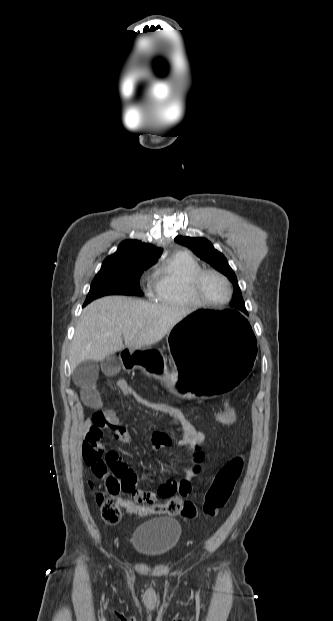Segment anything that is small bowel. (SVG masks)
<instances>
[{
	"label": "small bowel",
	"mask_w": 333,
	"mask_h": 621,
	"mask_svg": "<svg viewBox=\"0 0 333 621\" xmlns=\"http://www.w3.org/2000/svg\"><path fill=\"white\" fill-rule=\"evenodd\" d=\"M114 368L115 360L107 359L104 363V369L113 371ZM117 388L124 395L132 396L133 394L132 387L125 380H119ZM80 396L86 406L96 410L91 418L85 420L83 426L81 451L85 463L91 467L93 472L98 469L102 462L115 468L127 467V464L116 451L105 452L103 433L106 430H111L114 439L120 443H129L130 434L112 412L102 409L100 394L95 386L84 383L80 390ZM171 417L175 426L183 433L178 444L179 451L185 457V463L178 469L183 474V478H168L155 490L135 487L130 491L131 499L125 500L126 504L133 509L154 504L161 499L188 496L192 491L193 478L201 471L204 460V433L182 414ZM151 440L152 446L156 450L167 448L172 444L171 434L167 432H155ZM155 471L161 474H171L177 469L171 464H158Z\"/></svg>",
	"instance_id": "c3829d8e"
}]
</instances>
